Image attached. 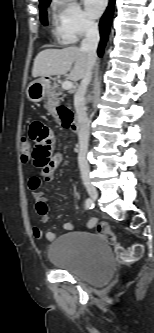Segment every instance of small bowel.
Wrapping results in <instances>:
<instances>
[{
	"instance_id": "1",
	"label": "small bowel",
	"mask_w": 154,
	"mask_h": 333,
	"mask_svg": "<svg viewBox=\"0 0 154 333\" xmlns=\"http://www.w3.org/2000/svg\"><path fill=\"white\" fill-rule=\"evenodd\" d=\"M28 138L32 142V159L36 167L41 169L40 176H34L29 180V188L36 201V210L43 223L49 222L48 204L44 193L40 190L42 182H51L54 179V172L62 162V154L55 151V137L52 130L39 121H34L29 127ZM97 223L95 218L91 219L87 227L92 228ZM63 228L67 231L74 229L73 224L66 222ZM33 236L36 239L53 241L56 235L53 232H46L39 227H33Z\"/></svg>"
}]
</instances>
